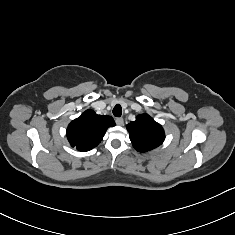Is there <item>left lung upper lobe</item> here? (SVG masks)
I'll return each mask as SVG.
<instances>
[{"label":"left lung upper lobe","mask_w":235,"mask_h":235,"mask_svg":"<svg viewBox=\"0 0 235 235\" xmlns=\"http://www.w3.org/2000/svg\"><path fill=\"white\" fill-rule=\"evenodd\" d=\"M133 147L139 152L150 151L161 145L165 139L162 126L148 114H141L126 126Z\"/></svg>","instance_id":"1"}]
</instances>
